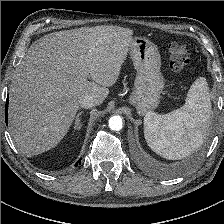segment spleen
<instances>
[{
	"instance_id": "obj_1",
	"label": "spleen",
	"mask_w": 224,
	"mask_h": 224,
	"mask_svg": "<svg viewBox=\"0 0 224 224\" xmlns=\"http://www.w3.org/2000/svg\"><path fill=\"white\" fill-rule=\"evenodd\" d=\"M210 115L208 83L204 77H199L191 85L181 108L163 115L154 112L145 115V140L161 157L182 159L203 144Z\"/></svg>"
}]
</instances>
